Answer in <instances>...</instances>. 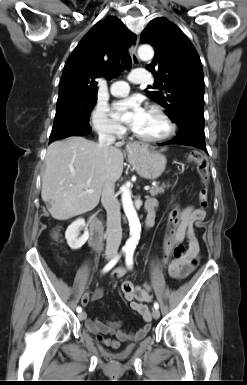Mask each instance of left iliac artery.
<instances>
[{
  "label": "left iliac artery",
  "mask_w": 247,
  "mask_h": 385,
  "mask_svg": "<svg viewBox=\"0 0 247 385\" xmlns=\"http://www.w3.org/2000/svg\"><path fill=\"white\" fill-rule=\"evenodd\" d=\"M126 265L129 268H132L133 266V251H127L126 257H125ZM154 308L159 309V304L157 302H154Z\"/></svg>",
  "instance_id": "obj_1"
}]
</instances>
